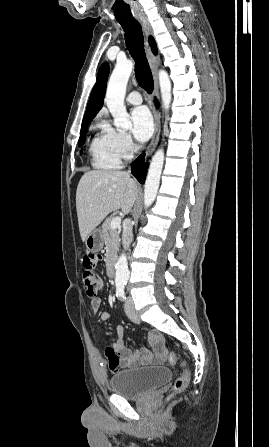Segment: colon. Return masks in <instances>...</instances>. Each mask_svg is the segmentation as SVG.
<instances>
[{
    "mask_svg": "<svg viewBox=\"0 0 269 447\" xmlns=\"http://www.w3.org/2000/svg\"><path fill=\"white\" fill-rule=\"evenodd\" d=\"M84 261L82 263V282L85 287V294L87 298H95L97 292L103 288V280L94 271H101V254L95 253H85ZM105 356L108 363V369L112 373H118L121 370L120 357L117 352L111 348L107 347L105 349ZM167 363L170 365H175L180 363V374L176 378L173 386V393L168 396V399H172L175 393L183 391L186 387L190 385V373L188 365L185 361H180V354L175 352H170L167 355Z\"/></svg>",
    "mask_w": 269,
    "mask_h": 447,
    "instance_id": "5ec220e1",
    "label": "colon"
}]
</instances>
